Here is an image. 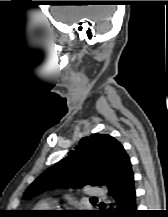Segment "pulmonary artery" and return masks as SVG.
Returning <instances> with one entry per match:
<instances>
[{"label": "pulmonary artery", "instance_id": "pulmonary-artery-1", "mask_svg": "<svg viewBox=\"0 0 168 217\" xmlns=\"http://www.w3.org/2000/svg\"><path fill=\"white\" fill-rule=\"evenodd\" d=\"M87 195L93 198L104 197L105 192L101 188H98V187H89L87 189Z\"/></svg>", "mask_w": 168, "mask_h": 217}]
</instances>
